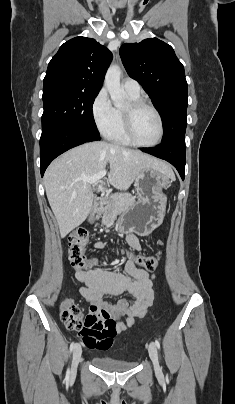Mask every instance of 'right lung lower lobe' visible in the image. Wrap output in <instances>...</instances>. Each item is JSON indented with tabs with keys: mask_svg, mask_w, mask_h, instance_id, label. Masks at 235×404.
Masks as SVG:
<instances>
[{
	"mask_svg": "<svg viewBox=\"0 0 235 404\" xmlns=\"http://www.w3.org/2000/svg\"><path fill=\"white\" fill-rule=\"evenodd\" d=\"M95 140H100L99 134L69 125L42 130L40 138L41 176L57 156L70 148Z\"/></svg>",
	"mask_w": 235,
	"mask_h": 404,
	"instance_id": "1",
	"label": "right lung lower lobe"
}]
</instances>
